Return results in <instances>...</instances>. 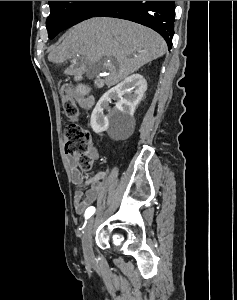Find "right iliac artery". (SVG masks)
Here are the masks:
<instances>
[{
	"mask_svg": "<svg viewBox=\"0 0 237 300\" xmlns=\"http://www.w3.org/2000/svg\"><path fill=\"white\" fill-rule=\"evenodd\" d=\"M95 213V207L91 206L88 207L85 211V219L87 220L88 218H90L93 214Z\"/></svg>",
	"mask_w": 237,
	"mask_h": 300,
	"instance_id": "obj_1",
	"label": "right iliac artery"
}]
</instances>
